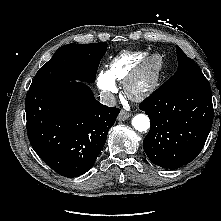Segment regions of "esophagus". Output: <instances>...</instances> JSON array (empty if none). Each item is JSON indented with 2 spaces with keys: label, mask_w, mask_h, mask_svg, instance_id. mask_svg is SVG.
Masks as SVG:
<instances>
[{
  "label": "esophagus",
  "mask_w": 221,
  "mask_h": 221,
  "mask_svg": "<svg viewBox=\"0 0 221 221\" xmlns=\"http://www.w3.org/2000/svg\"><path fill=\"white\" fill-rule=\"evenodd\" d=\"M131 116V114L129 112H126L124 110H121V112L118 115V120L119 121H125L127 120L129 117Z\"/></svg>",
  "instance_id": "1"
}]
</instances>
